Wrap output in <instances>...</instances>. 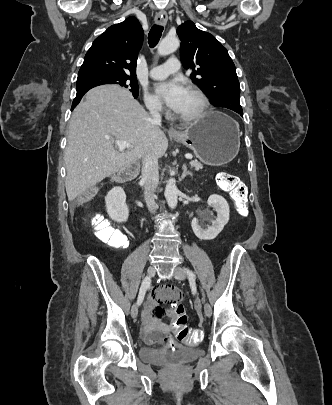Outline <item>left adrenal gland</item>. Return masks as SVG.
Instances as JSON below:
<instances>
[{
	"instance_id": "obj_1",
	"label": "left adrenal gland",
	"mask_w": 332,
	"mask_h": 405,
	"mask_svg": "<svg viewBox=\"0 0 332 405\" xmlns=\"http://www.w3.org/2000/svg\"><path fill=\"white\" fill-rule=\"evenodd\" d=\"M182 169H183V173H182V176H181V180H183L186 176H192L193 175L192 172L187 170V165L186 164H183Z\"/></svg>"
}]
</instances>
